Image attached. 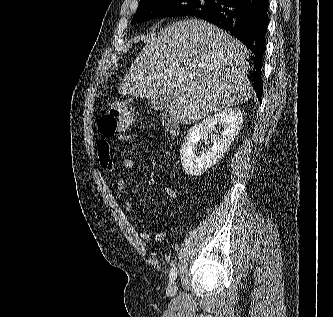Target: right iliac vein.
<instances>
[{"instance_id": "obj_1", "label": "right iliac vein", "mask_w": 333, "mask_h": 317, "mask_svg": "<svg viewBox=\"0 0 333 317\" xmlns=\"http://www.w3.org/2000/svg\"><path fill=\"white\" fill-rule=\"evenodd\" d=\"M178 287L175 281H171L167 287V294L174 296L177 293Z\"/></svg>"}]
</instances>
